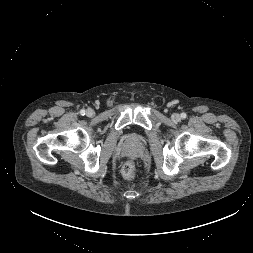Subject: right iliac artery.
I'll use <instances>...</instances> for the list:
<instances>
[{"instance_id":"1","label":"right iliac artery","mask_w":253,"mask_h":253,"mask_svg":"<svg viewBox=\"0 0 253 253\" xmlns=\"http://www.w3.org/2000/svg\"><path fill=\"white\" fill-rule=\"evenodd\" d=\"M80 113H81V115H85L86 111H85L84 109H82V110L80 111Z\"/></svg>"}]
</instances>
